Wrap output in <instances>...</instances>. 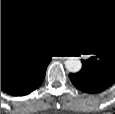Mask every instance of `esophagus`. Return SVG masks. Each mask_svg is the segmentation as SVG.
<instances>
[{"label": "esophagus", "instance_id": "obj_1", "mask_svg": "<svg viewBox=\"0 0 115 114\" xmlns=\"http://www.w3.org/2000/svg\"><path fill=\"white\" fill-rule=\"evenodd\" d=\"M60 60H62V61H63V60H65V58H60Z\"/></svg>", "mask_w": 115, "mask_h": 114}]
</instances>
